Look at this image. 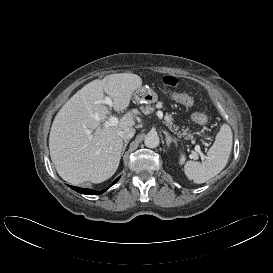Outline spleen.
Listing matches in <instances>:
<instances>
[{"label": "spleen", "mask_w": 273, "mask_h": 273, "mask_svg": "<svg viewBox=\"0 0 273 273\" xmlns=\"http://www.w3.org/2000/svg\"><path fill=\"white\" fill-rule=\"evenodd\" d=\"M233 134L229 125L223 124L216 135L215 142L207 152L206 160L202 163L187 161L181 155L180 163L184 165V173L188 179L200 184L219 174L226 166L233 143Z\"/></svg>", "instance_id": "1"}]
</instances>
